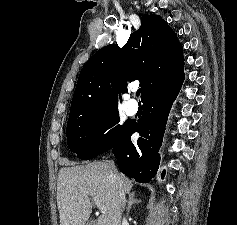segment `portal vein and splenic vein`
<instances>
[{"mask_svg":"<svg viewBox=\"0 0 237 225\" xmlns=\"http://www.w3.org/2000/svg\"><path fill=\"white\" fill-rule=\"evenodd\" d=\"M94 202L100 210H103V211L106 210V207L103 205V203L96 197L94 198Z\"/></svg>","mask_w":237,"mask_h":225,"instance_id":"18ae733b","label":"portal vein and splenic vein"}]
</instances>
